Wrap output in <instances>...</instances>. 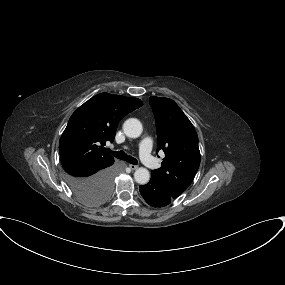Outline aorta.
<instances>
[{"instance_id":"1","label":"aorta","mask_w":285,"mask_h":285,"mask_svg":"<svg viewBox=\"0 0 285 285\" xmlns=\"http://www.w3.org/2000/svg\"><path fill=\"white\" fill-rule=\"evenodd\" d=\"M123 131L129 138H137L142 134L143 127L141 122L136 118H129L123 124ZM134 179L138 184H146L150 179L149 171L140 167L134 173Z\"/></svg>"}]
</instances>
